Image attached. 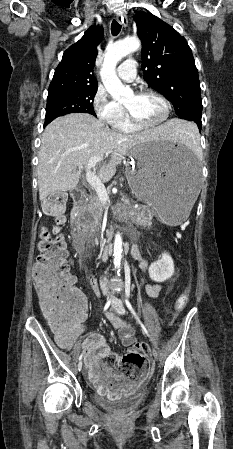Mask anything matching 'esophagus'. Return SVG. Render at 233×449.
<instances>
[{
	"mask_svg": "<svg viewBox=\"0 0 233 449\" xmlns=\"http://www.w3.org/2000/svg\"><path fill=\"white\" fill-rule=\"evenodd\" d=\"M116 20L119 24H122L125 28L128 26V20L125 15L118 13L116 15Z\"/></svg>",
	"mask_w": 233,
	"mask_h": 449,
	"instance_id": "34e87169",
	"label": "esophagus"
}]
</instances>
